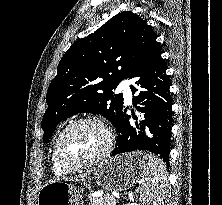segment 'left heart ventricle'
Returning a JSON list of instances; mask_svg holds the SVG:
<instances>
[{"mask_svg": "<svg viewBox=\"0 0 222 205\" xmlns=\"http://www.w3.org/2000/svg\"><path fill=\"white\" fill-rule=\"evenodd\" d=\"M104 132L95 125L82 124L70 130L61 143V154L69 163L86 161L104 147Z\"/></svg>", "mask_w": 222, "mask_h": 205, "instance_id": "obj_1", "label": "left heart ventricle"}]
</instances>
